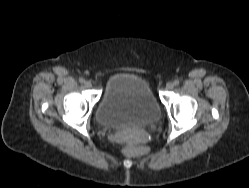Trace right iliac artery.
I'll return each instance as SVG.
<instances>
[{
	"instance_id": "1",
	"label": "right iliac artery",
	"mask_w": 249,
	"mask_h": 188,
	"mask_svg": "<svg viewBox=\"0 0 249 188\" xmlns=\"http://www.w3.org/2000/svg\"><path fill=\"white\" fill-rule=\"evenodd\" d=\"M79 82H80V83H84V82H85V79L81 77V78L79 79Z\"/></svg>"
}]
</instances>
